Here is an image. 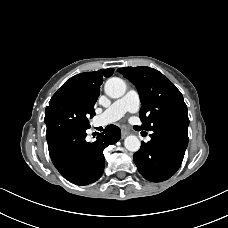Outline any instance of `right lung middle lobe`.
Returning <instances> with one entry per match:
<instances>
[{
	"label": "right lung middle lobe",
	"instance_id": "right-lung-middle-lobe-1",
	"mask_svg": "<svg viewBox=\"0 0 228 228\" xmlns=\"http://www.w3.org/2000/svg\"><path fill=\"white\" fill-rule=\"evenodd\" d=\"M95 115L94 106L82 102L73 94L57 91L45 110L46 137L71 129H88V119Z\"/></svg>",
	"mask_w": 228,
	"mask_h": 228
}]
</instances>
